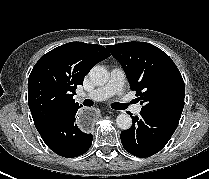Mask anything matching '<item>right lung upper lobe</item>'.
<instances>
[{
    "label": "right lung upper lobe",
    "mask_w": 209,
    "mask_h": 179,
    "mask_svg": "<svg viewBox=\"0 0 209 179\" xmlns=\"http://www.w3.org/2000/svg\"><path fill=\"white\" fill-rule=\"evenodd\" d=\"M110 56L103 46L70 42L43 55L28 80V104L39 133L80 105L73 96L90 69Z\"/></svg>",
    "instance_id": "right-lung-upper-lobe-1"
}]
</instances>
